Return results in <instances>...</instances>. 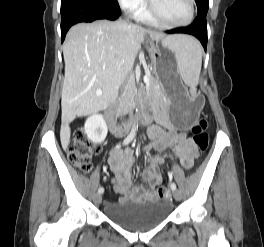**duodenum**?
Instances as JSON below:
<instances>
[{"instance_id":"duodenum-1","label":"duodenum","mask_w":264,"mask_h":247,"mask_svg":"<svg viewBox=\"0 0 264 247\" xmlns=\"http://www.w3.org/2000/svg\"><path fill=\"white\" fill-rule=\"evenodd\" d=\"M118 104H112L106 113V119L108 122L109 129L114 134H120L125 131L126 127L118 125L115 121V115L119 111Z\"/></svg>"}]
</instances>
